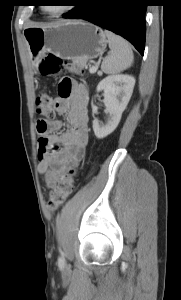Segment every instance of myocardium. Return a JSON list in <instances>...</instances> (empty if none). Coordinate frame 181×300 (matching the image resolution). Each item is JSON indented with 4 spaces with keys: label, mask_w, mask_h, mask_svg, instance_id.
Segmentation results:
<instances>
[{
    "label": "myocardium",
    "mask_w": 181,
    "mask_h": 300,
    "mask_svg": "<svg viewBox=\"0 0 181 300\" xmlns=\"http://www.w3.org/2000/svg\"><path fill=\"white\" fill-rule=\"evenodd\" d=\"M72 9H73V5L67 4L64 6L63 9H61L57 12L51 13L45 9V6L41 7V10L50 17H62L64 15H67Z\"/></svg>",
    "instance_id": "f54148a6"
}]
</instances>
